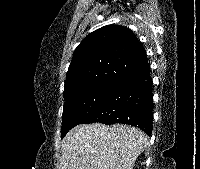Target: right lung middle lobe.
<instances>
[{
	"label": "right lung middle lobe",
	"mask_w": 200,
	"mask_h": 169,
	"mask_svg": "<svg viewBox=\"0 0 200 169\" xmlns=\"http://www.w3.org/2000/svg\"><path fill=\"white\" fill-rule=\"evenodd\" d=\"M116 83V80L98 81L64 99L61 138L90 116L106 100Z\"/></svg>",
	"instance_id": "1"
}]
</instances>
